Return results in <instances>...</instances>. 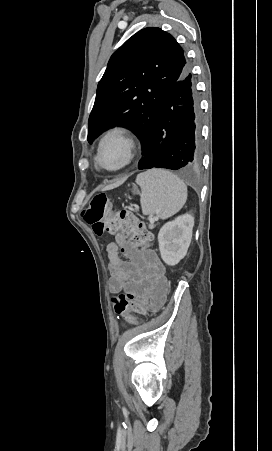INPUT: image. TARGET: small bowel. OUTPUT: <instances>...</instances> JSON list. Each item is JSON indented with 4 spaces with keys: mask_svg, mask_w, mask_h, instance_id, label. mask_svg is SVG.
Segmentation results:
<instances>
[{
    "mask_svg": "<svg viewBox=\"0 0 272 451\" xmlns=\"http://www.w3.org/2000/svg\"><path fill=\"white\" fill-rule=\"evenodd\" d=\"M106 252L112 293L130 290L138 295L151 294L154 306L163 303L164 298L158 292L165 282L166 269L154 250L147 247L138 249L126 245L124 238H115L114 242L108 243ZM157 282L161 283L158 290L155 288Z\"/></svg>",
    "mask_w": 272,
    "mask_h": 451,
    "instance_id": "obj_1",
    "label": "small bowel"
}]
</instances>
